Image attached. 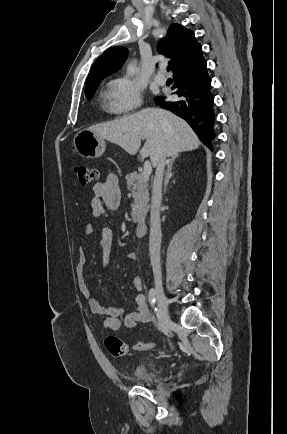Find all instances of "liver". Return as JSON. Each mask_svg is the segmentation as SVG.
<instances>
[{
  "label": "liver",
  "mask_w": 287,
  "mask_h": 434,
  "mask_svg": "<svg viewBox=\"0 0 287 434\" xmlns=\"http://www.w3.org/2000/svg\"><path fill=\"white\" fill-rule=\"evenodd\" d=\"M89 130L119 145L130 155H135L141 140L142 159L150 157L157 167L161 155L177 157L179 153L197 149L201 142L189 125L173 113L161 108H146L107 123L91 126Z\"/></svg>",
  "instance_id": "obj_1"
}]
</instances>
